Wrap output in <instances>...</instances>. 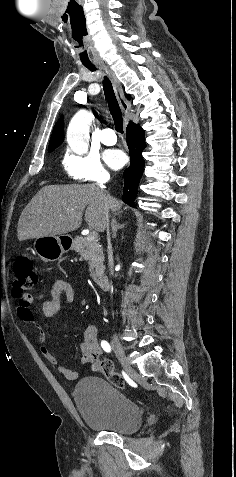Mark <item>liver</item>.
Here are the masks:
<instances>
[{
	"mask_svg": "<svg viewBox=\"0 0 236 477\" xmlns=\"http://www.w3.org/2000/svg\"><path fill=\"white\" fill-rule=\"evenodd\" d=\"M104 196L113 212L120 210L122 202L95 185L44 186L20 215L18 239L24 241L74 231L81 226L85 209L87 224L102 232Z\"/></svg>",
	"mask_w": 236,
	"mask_h": 477,
	"instance_id": "liver-1",
	"label": "liver"
}]
</instances>
